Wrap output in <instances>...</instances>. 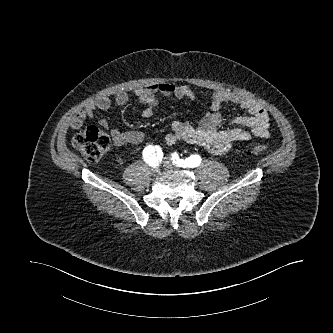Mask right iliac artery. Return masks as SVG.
<instances>
[{
    "mask_svg": "<svg viewBox=\"0 0 333 333\" xmlns=\"http://www.w3.org/2000/svg\"><path fill=\"white\" fill-rule=\"evenodd\" d=\"M163 152L159 146H147L143 151V158L150 166H158V162L162 160Z\"/></svg>",
    "mask_w": 333,
    "mask_h": 333,
    "instance_id": "1",
    "label": "right iliac artery"
}]
</instances>
